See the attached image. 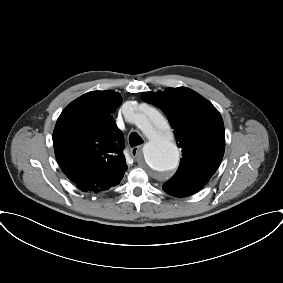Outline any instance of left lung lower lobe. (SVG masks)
<instances>
[{
    "label": "left lung lower lobe",
    "mask_w": 283,
    "mask_h": 283,
    "mask_svg": "<svg viewBox=\"0 0 283 283\" xmlns=\"http://www.w3.org/2000/svg\"><path fill=\"white\" fill-rule=\"evenodd\" d=\"M202 188L197 186H191L186 184H178L176 186H165L163 185V190L169 195L176 197H186L197 193Z\"/></svg>",
    "instance_id": "0a47b994"
}]
</instances>
